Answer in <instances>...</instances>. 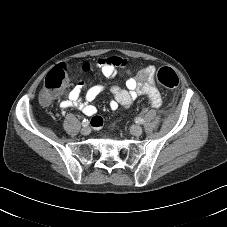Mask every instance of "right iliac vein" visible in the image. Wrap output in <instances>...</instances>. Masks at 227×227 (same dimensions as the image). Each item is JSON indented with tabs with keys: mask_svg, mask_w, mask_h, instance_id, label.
Here are the masks:
<instances>
[{
	"mask_svg": "<svg viewBox=\"0 0 227 227\" xmlns=\"http://www.w3.org/2000/svg\"><path fill=\"white\" fill-rule=\"evenodd\" d=\"M91 129L88 127V126H84L82 129H81V133L83 135H88L90 133Z\"/></svg>",
	"mask_w": 227,
	"mask_h": 227,
	"instance_id": "right-iliac-vein-1",
	"label": "right iliac vein"
}]
</instances>
